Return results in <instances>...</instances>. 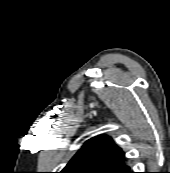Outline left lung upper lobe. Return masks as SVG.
<instances>
[{"mask_svg":"<svg viewBox=\"0 0 170 173\" xmlns=\"http://www.w3.org/2000/svg\"><path fill=\"white\" fill-rule=\"evenodd\" d=\"M125 153L112 138L98 135L87 140L60 173H122Z\"/></svg>","mask_w":170,"mask_h":173,"instance_id":"1","label":"left lung upper lobe"}]
</instances>
